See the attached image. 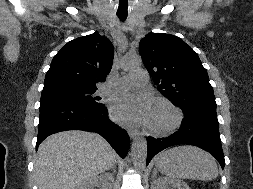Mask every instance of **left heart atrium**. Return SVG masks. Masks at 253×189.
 <instances>
[{"label": "left heart atrium", "instance_id": "obj_1", "mask_svg": "<svg viewBox=\"0 0 253 189\" xmlns=\"http://www.w3.org/2000/svg\"><path fill=\"white\" fill-rule=\"evenodd\" d=\"M153 110L150 98L132 93L117 96L111 106L114 120L128 125H149Z\"/></svg>", "mask_w": 253, "mask_h": 189}]
</instances>
